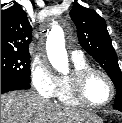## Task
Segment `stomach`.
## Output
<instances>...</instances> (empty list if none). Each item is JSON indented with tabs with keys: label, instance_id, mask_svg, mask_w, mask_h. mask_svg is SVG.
Listing matches in <instances>:
<instances>
[{
	"label": "stomach",
	"instance_id": "stomach-1",
	"mask_svg": "<svg viewBox=\"0 0 122 123\" xmlns=\"http://www.w3.org/2000/svg\"><path fill=\"white\" fill-rule=\"evenodd\" d=\"M84 123H103L102 119L95 115L93 118L89 119Z\"/></svg>",
	"mask_w": 122,
	"mask_h": 123
}]
</instances>
